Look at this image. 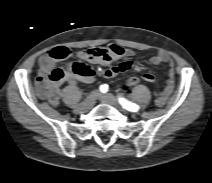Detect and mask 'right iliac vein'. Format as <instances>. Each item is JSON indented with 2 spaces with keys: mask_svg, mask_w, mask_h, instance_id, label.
Masks as SVG:
<instances>
[{
  "mask_svg": "<svg viewBox=\"0 0 212 183\" xmlns=\"http://www.w3.org/2000/svg\"><path fill=\"white\" fill-rule=\"evenodd\" d=\"M98 95L96 91L90 93L87 98L75 108V112L81 113L89 111L95 104Z\"/></svg>",
  "mask_w": 212,
  "mask_h": 183,
  "instance_id": "right-iliac-vein-1",
  "label": "right iliac vein"
}]
</instances>
